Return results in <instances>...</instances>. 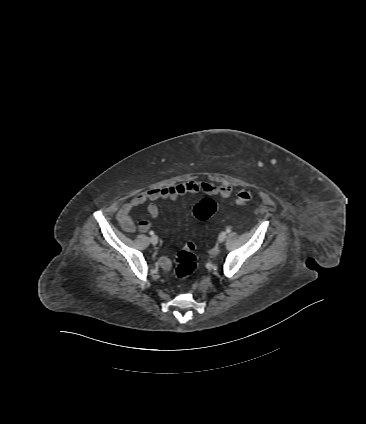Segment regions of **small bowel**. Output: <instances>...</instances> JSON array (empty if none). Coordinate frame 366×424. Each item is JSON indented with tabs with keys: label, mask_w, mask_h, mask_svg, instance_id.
Here are the masks:
<instances>
[{
	"label": "small bowel",
	"mask_w": 366,
	"mask_h": 424,
	"mask_svg": "<svg viewBox=\"0 0 366 424\" xmlns=\"http://www.w3.org/2000/svg\"><path fill=\"white\" fill-rule=\"evenodd\" d=\"M232 188L229 185H216L205 181L190 180L176 185L164 186L160 188L149 189L140 192L133 197L129 202L124 204L117 213V221L120 227L127 233L135 231V224L131 217V212L136 207L145 203L147 205V213L151 218H156L159 214V207L155 203L158 200H176L178 197L186 194L204 193L209 196H218L222 199H227L232 195ZM151 227L149 221H141L138 224V229L141 232H147ZM161 267L168 269L171 265V260L167 257L161 259Z\"/></svg>",
	"instance_id": "obj_1"
}]
</instances>
